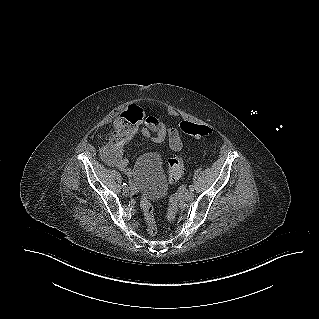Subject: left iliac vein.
<instances>
[{
	"label": "left iliac vein",
	"mask_w": 319,
	"mask_h": 319,
	"mask_svg": "<svg viewBox=\"0 0 319 319\" xmlns=\"http://www.w3.org/2000/svg\"><path fill=\"white\" fill-rule=\"evenodd\" d=\"M194 198V193L192 191H188L184 194L183 199L185 201H192Z\"/></svg>",
	"instance_id": "obj_1"
}]
</instances>
